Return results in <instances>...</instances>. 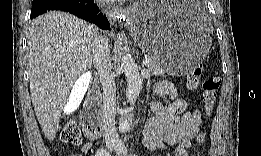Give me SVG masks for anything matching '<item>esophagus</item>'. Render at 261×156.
I'll return each instance as SVG.
<instances>
[{
    "mask_svg": "<svg viewBox=\"0 0 261 156\" xmlns=\"http://www.w3.org/2000/svg\"><path fill=\"white\" fill-rule=\"evenodd\" d=\"M107 14L108 16L116 21V20H121L123 15H124V11L121 8H113L111 10H107Z\"/></svg>",
    "mask_w": 261,
    "mask_h": 156,
    "instance_id": "1",
    "label": "esophagus"
}]
</instances>
